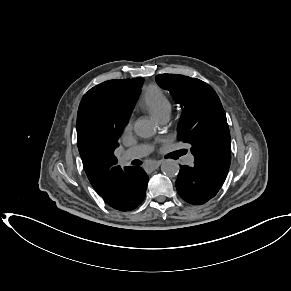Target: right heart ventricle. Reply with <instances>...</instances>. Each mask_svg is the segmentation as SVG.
I'll use <instances>...</instances> for the list:
<instances>
[{"mask_svg": "<svg viewBox=\"0 0 291 291\" xmlns=\"http://www.w3.org/2000/svg\"><path fill=\"white\" fill-rule=\"evenodd\" d=\"M141 106L154 118L170 114L172 104L165 92L157 85H149L142 96Z\"/></svg>", "mask_w": 291, "mask_h": 291, "instance_id": "obj_1", "label": "right heart ventricle"}]
</instances>
